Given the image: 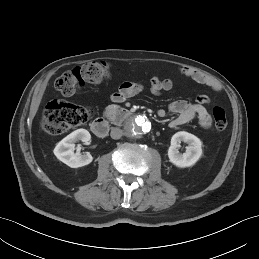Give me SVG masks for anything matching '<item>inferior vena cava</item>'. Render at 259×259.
<instances>
[{"label":"inferior vena cava","mask_w":259,"mask_h":259,"mask_svg":"<svg viewBox=\"0 0 259 259\" xmlns=\"http://www.w3.org/2000/svg\"><path fill=\"white\" fill-rule=\"evenodd\" d=\"M110 135L112 139H120L123 135V131L119 128H112Z\"/></svg>","instance_id":"inferior-vena-cava-1"}]
</instances>
